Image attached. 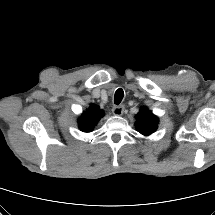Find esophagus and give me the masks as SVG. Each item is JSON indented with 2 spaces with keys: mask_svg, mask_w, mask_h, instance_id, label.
I'll list each match as a JSON object with an SVG mask.
<instances>
[{
  "mask_svg": "<svg viewBox=\"0 0 215 215\" xmlns=\"http://www.w3.org/2000/svg\"><path fill=\"white\" fill-rule=\"evenodd\" d=\"M112 112L116 116H121L124 112V106L123 105L114 106Z\"/></svg>",
  "mask_w": 215,
  "mask_h": 215,
  "instance_id": "34e87169",
  "label": "esophagus"
}]
</instances>
